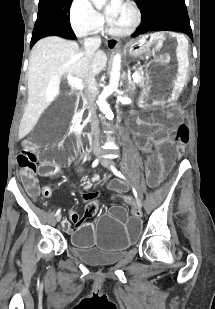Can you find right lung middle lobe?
<instances>
[{
	"instance_id": "dd1d6c3e",
	"label": "right lung middle lobe",
	"mask_w": 215,
	"mask_h": 309,
	"mask_svg": "<svg viewBox=\"0 0 215 309\" xmlns=\"http://www.w3.org/2000/svg\"><path fill=\"white\" fill-rule=\"evenodd\" d=\"M71 3L72 0H39L38 16L32 34L31 46L47 35L76 38L69 20Z\"/></svg>"
}]
</instances>
